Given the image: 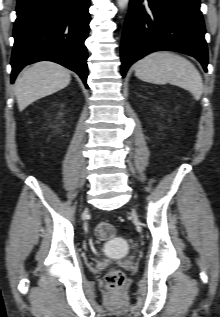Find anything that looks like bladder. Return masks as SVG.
<instances>
[{
  "label": "bladder",
  "mask_w": 220,
  "mask_h": 317,
  "mask_svg": "<svg viewBox=\"0 0 220 317\" xmlns=\"http://www.w3.org/2000/svg\"><path fill=\"white\" fill-rule=\"evenodd\" d=\"M104 251L108 255L122 257L128 253L129 246L123 238L116 236L107 239L104 244Z\"/></svg>",
  "instance_id": "1"
}]
</instances>
